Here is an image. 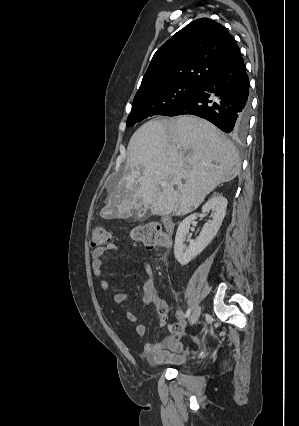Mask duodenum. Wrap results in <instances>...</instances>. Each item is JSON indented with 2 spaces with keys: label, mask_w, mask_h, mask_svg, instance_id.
Masks as SVG:
<instances>
[{
  "label": "duodenum",
  "mask_w": 299,
  "mask_h": 426,
  "mask_svg": "<svg viewBox=\"0 0 299 426\" xmlns=\"http://www.w3.org/2000/svg\"><path fill=\"white\" fill-rule=\"evenodd\" d=\"M164 225H165V228L167 229V231H172L173 230L174 224L171 221V219L166 218L165 221H164Z\"/></svg>",
  "instance_id": "obj_1"
}]
</instances>
